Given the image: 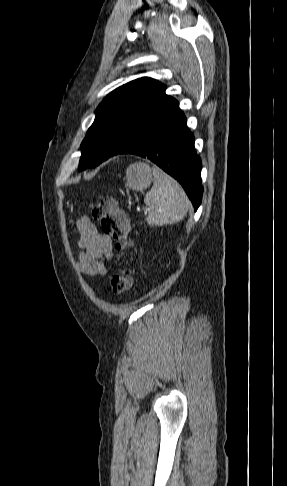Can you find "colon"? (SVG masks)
Wrapping results in <instances>:
<instances>
[{
	"instance_id": "1",
	"label": "colon",
	"mask_w": 287,
	"mask_h": 486,
	"mask_svg": "<svg viewBox=\"0 0 287 486\" xmlns=\"http://www.w3.org/2000/svg\"><path fill=\"white\" fill-rule=\"evenodd\" d=\"M92 216L101 224L102 231L114 241L119 257H125L133 247L130 223L125 213L118 208L113 198H101L92 205ZM133 283L129 268H121L110 277V286L115 294L128 291Z\"/></svg>"
}]
</instances>
